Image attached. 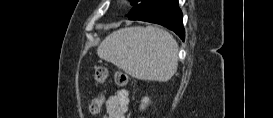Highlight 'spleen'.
Listing matches in <instances>:
<instances>
[{
  "label": "spleen",
  "instance_id": "3e777b00",
  "mask_svg": "<svg viewBox=\"0 0 273 118\" xmlns=\"http://www.w3.org/2000/svg\"><path fill=\"white\" fill-rule=\"evenodd\" d=\"M97 54L140 80L168 81L178 67L176 40L153 26L119 29L103 40Z\"/></svg>",
  "mask_w": 273,
  "mask_h": 118
}]
</instances>
